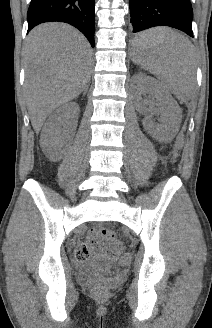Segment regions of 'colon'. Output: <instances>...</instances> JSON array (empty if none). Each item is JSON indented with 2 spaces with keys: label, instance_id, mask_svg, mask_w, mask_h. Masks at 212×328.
<instances>
[{
  "label": "colon",
  "instance_id": "obj_1",
  "mask_svg": "<svg viewBox=\"0 0 212 328\" xmlns=\"http://www.w3.org/2000/svg\"><path fill=\"white\" fill-rule=\"evenodd\" d=\"M100 233L101 235L109 242L110 246L112 248H114L115 250H118V251H121L122 250V243L120 242V240L117 238V235L115 234V232L109 230V229H106V228H102L100 230ZM77 258L79 260H84L86 259V255L83 251H77V254H76ZM130 261V257L128 255H123L121 258H120V263L122 265H126L128 264ZM92 291L93 293L96 295V296H102L106 293V289L104 286L102 285H95L93 288H92Z\"/></svg>",
  "mask_w": 212,
  "mask_h": 328
}]
</instances>
